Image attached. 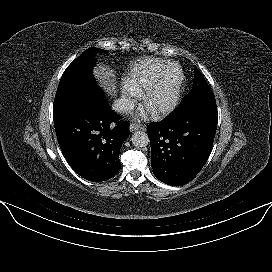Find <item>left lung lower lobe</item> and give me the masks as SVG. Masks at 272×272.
<instances>
[{
	"mask_svg": "<svg viewBox=\"0 0 272 272\" xmlns=\"http://www.w3.org/2000/svg\"><path fill=\"white\" fill-rule=\"evenodd\" d=\"M216 101L178 107L166 119L147 127L151 166L163 183L182 186L203 168L217 128Z\"/></svg>",
	"mask_w": 272,
	"mask_h": 272,
	"instance_id": "obj_1",
	"label": "left lung lower lobe"
}]
</instances>
